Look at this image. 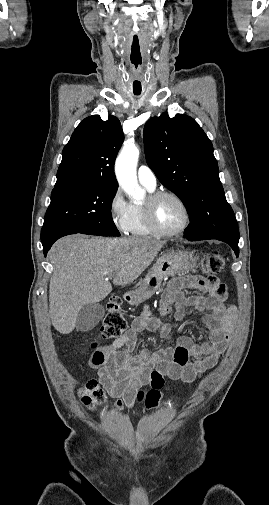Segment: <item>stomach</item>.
Segmentation results:
<instances>
[{
	"mask_svg": "<svg viewBox=\"0 0 269 505\" xmlns=\"http://www.w3.org/2000/svg\"><path fill=\"white\" fill-rule=\"evenodd\" d=\"M196 266V258L187 251H172L157 260L148 271L139 289L132 294L131 304L137 305L152 296L168 277L186 273Z\"/></svg>",
	"mask_w": 269,
	"mask_h": 505,
	"instance_id": "stomach-1",
	"label": "stomach"
}]
</instances>
